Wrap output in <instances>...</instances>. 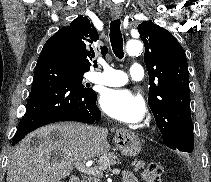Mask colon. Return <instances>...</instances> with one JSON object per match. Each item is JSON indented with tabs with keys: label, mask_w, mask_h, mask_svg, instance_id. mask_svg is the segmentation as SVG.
<instances>
[{
	"label": "colon",
	"mask_w": 211,
	"mask_h": 182,
	"mask_svg": "<svg viewBox=\"0 0 211 182\" xmlns=\"http://www.w3.org/2000/svg\"><path fill=\"white\" fill-rule=\"evenodd\" d=\"M164 168L160 163L152 162L143 173L145 182H161Z\"/></svg>",
	"instance_id": "obj_1"
}]
</instances>
